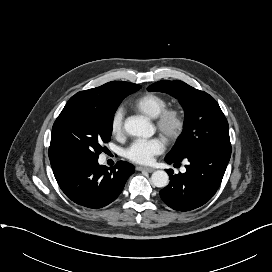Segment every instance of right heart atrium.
Returning a JSON list of instances; mask_svg holds the SVG:
<instances>
[{"mask_svg": "<svg viewBox=\"0 0 272 272\" xmlns=\"http://www.w3.org/2000/svg\"><path fill=\"white\" fill-rule=\"evenodd\" d=\"M124 126V110L123 108H118L112 116L111 119V133L114 136H121L123 133Z\"/></svg>", "mask_w": 272, "mask_h": 272, "instance_id": "right-heart-atrium-1", "label": "right heart atrium"}]
</instances>
